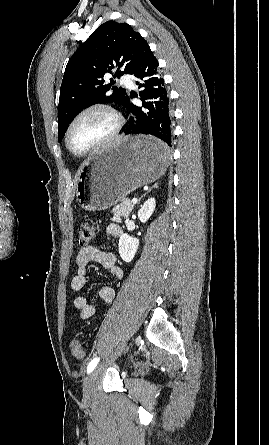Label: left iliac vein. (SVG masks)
<instances>
[{
  "label": "left iliac vein",
  "mask_w": 269,
  "mask_h": 445,
  "mask_svg": "<svg viewBox=\"0 0 269 445\" xmlns=\"http://www.w3.org/2000/svg\"><path fill=\"white\" fill-rule=\"evenodd\" d=\"M126 343H122L117 349L116 351L112 354V356L107 359L105 362L99 364L91 373L90 375L87 377L85 383H84V387H83V395L84 398L86 400H89L92 398L93 394H94V389H95V383L99 377V375L101 374L102 370L111 362H113L114 360H116L121 353L123 352V350L125 349Z\"/></svg>",
  "instance_id": "obj_1"
}]
</instances>
